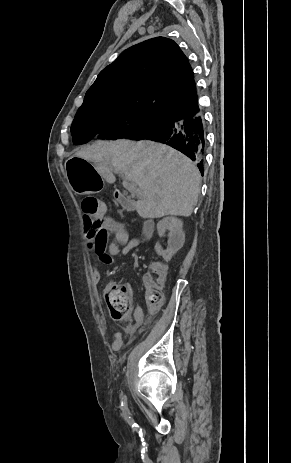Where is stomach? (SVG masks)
Returning <instances> with one entry per match:
<instances>
[{
	"label": "stomach",
	"instance_id": "obj_1",
	"mask_svg": "<svg viewBox=\"0 0 291 463\" xmlns=\"http://www.w3.org/2000/svg\"><path fill=\"white\" fill-rule=\"evenodd\" d=\"M65 164L70 185L77 194L84 195L101 190V177L90 164L89 157H66Z\"/></svg>",
	"mask_w": 291,
	"mask_h": 463
}]
</instances>
